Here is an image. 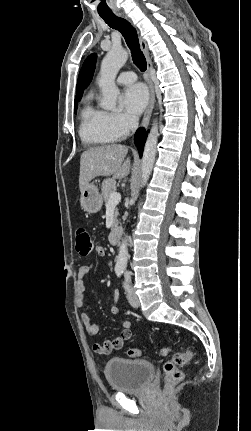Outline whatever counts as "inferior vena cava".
<instances>
[{"label": "inferior vena cava", "mask_w": 251, "mask_h": 431, "mask_svg": "<svg viewBox=\"0 0 251 431\" xmlns=\"http://www.w3.org/2000/svg\"><path fill=\"white\" fill-rule=\"evenodd\" d=\"M129 124H130L132 132H135V130L138 128V119H137V117H130ZM125 279L127 281L130 280V272H125Z\"/></svg>", "instance_id": "obj_1"}]
</instances>
